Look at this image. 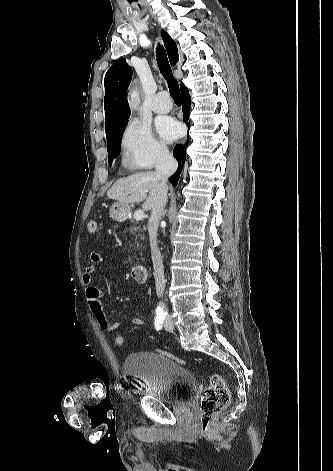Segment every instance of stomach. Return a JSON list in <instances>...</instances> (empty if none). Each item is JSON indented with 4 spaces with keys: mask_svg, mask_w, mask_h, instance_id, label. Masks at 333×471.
Segmentation results:
<instances>
[{
    "mask_svg": "<svg viewBox=\"0 0 333 471\" xmlns=\"http://www.w3.org/2000/svg\"><path fill=\"white\" fill-rule=\"evenodd\" d=\"M130 206L128 204H122L115 202L110 208V217L118 222L124 221L129 213Z\"/></svg>",
    "mask_w": 333,
    "mask_h": 471,
    "instance_id": "stomach-1",
    "label": "stomach"
}]
</instances>
